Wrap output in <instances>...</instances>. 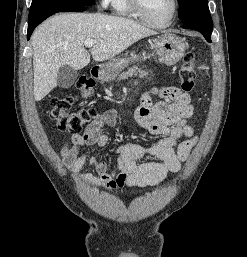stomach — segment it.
<instances>
[{
  "label": "stomach",
  "mask_w": 247,
  "mask_h": 257,
  "mask_svg": "<svg viewBox=\"0 0 247 257\" xmlns=\"http://www.w3.org/2000/svg\"><path fill=\"white\" fill-rule=\"evenodd\" d=\"M185 49L186 44L182 38L170 33L158 37L153 43L156 57L161 63L168 66L176 64L183 57ZM135 61V57H123L100 65L99 78L104 81H111L122 69Z\"/></svg>",
  "instance_id": "0dacf381"
}]
</instances>
